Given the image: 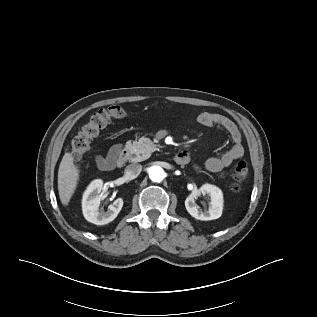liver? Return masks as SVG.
<instances>
[{"mask_svg": "<svg viewBox=\"0 0 317 317\" xmlns=\"http://www.w3.org/2000/svg\"><path fill=\"white\" fill-rule=\"evenodd\" d=\"M79 170L73 163L70 153H65L58 170V191L61 203L68 205L76 189Z\"/></svg>", "mask_w": 317, "mask_h": 317, "instance_id": "liver-1", "label": "liver"}]
</instances>
